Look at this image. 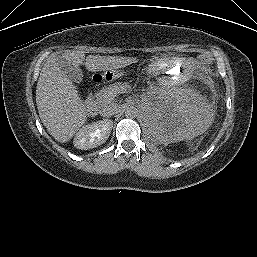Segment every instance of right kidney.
I'll list each match as a JSON object with an SVG mask.
<instances>
[{
    "label": "right kidney",
    "instance_id": "right-kidney-1",
    "mask_svg": "<svg viewBox=\"0 0 257 257\" xmlns=\"http://www.w3.org/2000/svg\"><path fill=\"white\" fill-rule=\"evenodd\" d=\"M113 121L104 119L86 125L80 129L74 138V146L81 150H88L100 146L109 137Z\"/></svg>",
    "mask_w": 257,
    "mask_h": 257
}]
</instances>
